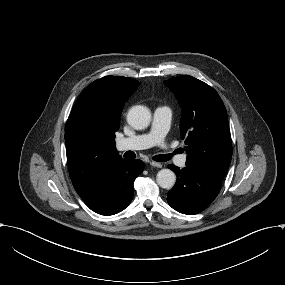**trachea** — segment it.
Segmentation results:
<instances>
[{"instance_id": "trachea-1", "label": "trachea", "mask_w": 285, "mask_h": 285, "mask_svg": "<svg viewBox=\"0 0 285 285\" xmlns=\"http://www.w3.org/2000/svg\"><path fill=\"white\" fill-rule=\"evenodd\" d=\"M173 156H174V153L159 154V155L154 156L153 160H155L156 162H166L172 159Z\"/></svg>"}]
</instances>
